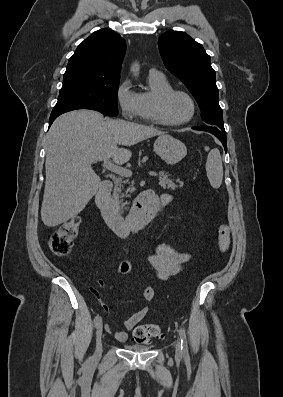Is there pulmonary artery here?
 <instances>
[{"label":"pulmonary artery","mask_w":283,"mask_h":397,"mask_svg":"<svg viewBox=\"0 0 283 397\" xmlns=\"http://www.w3.org/2000/svg\"><path fill=\"white\" fill-rule=\"evenodd\" d=\"M150 74L151 75H162V73L156 69H151L150 70Z\"/></svg>","instance_id":"e3ab8cb5"}]
</instances>
